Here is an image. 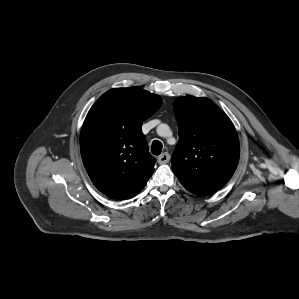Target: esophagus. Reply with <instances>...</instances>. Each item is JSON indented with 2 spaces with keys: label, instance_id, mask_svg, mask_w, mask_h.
Segmentation results:
<instances>
[{
  "label": "esophagus",
  "instance_id": "1",
  "mask_svg": "<svg viewBox=\"0 0 299 299\" xmlns=\"http://www.w3.org/2000/svg\"><path fill=\"white\" fill-rule=\"evenodd\" d=\"M158 163L159 164H166L169 162L170 160V155L167 152L162 153L159 157H158Z\"/></svg>",
  "mask_w": 299,
  "mask_h": 299
}]
</instances>
